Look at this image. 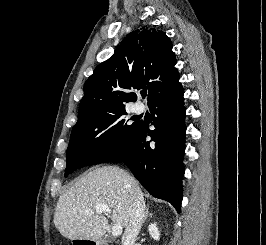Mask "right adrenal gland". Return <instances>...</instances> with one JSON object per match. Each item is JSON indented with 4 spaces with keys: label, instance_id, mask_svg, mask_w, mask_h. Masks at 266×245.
<instances>
[{
    "label": "right adrenal gland",
    "instance_id": "1",
    "mask_svg": "<svg viewBox=\"0 0 266 245\" xmlns=\"http://www.w3.org/2000/svg\"><path fill=\"white\" fill-rule=\"evenodd\" d=\"M152 213H149V209H148V205L146 207V211L144 213V219H143V223H146L148 217H151Z\"/></svg>",
    "mask_w": 266,
    "mask_h": 245
}]
</instances>
